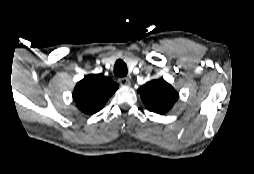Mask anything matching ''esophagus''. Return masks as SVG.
Wrapping results in <instances>:
<instances>
[{
    "label": "esophagus",
    "mask_w": 254,
    "mask_h": 174,
    "mask_svg": "<svg viewBox=\"0 0 254 174\" xmlns=\"http://www.w3.org/2000/svg\"><path fill=\"white\" fill-rule=\"evenodd\" d=\"M118 82L120 83L121 86H129L130 85V80L128 78H119Z\"/></svg>",
    "instance_id": "obj_1"
}]
</instances>
